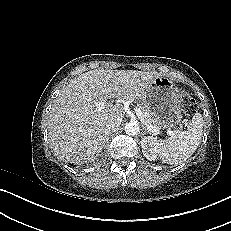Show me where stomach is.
I'll list each match as a JSON object with an SVG mask.
<instances>
[{
    "label": "stomach",
    "instance_id": "obj_1",
    "mask_svg": "<svg viewBox=\"0 0 231 231\" xmlns=\"http://www.w3.org/2000/svg\"><path fill=\"white\" fill-rule=\"evenodd\" d=\"M144 108L163 127H176L182 120L179 89L167 77H157L142 97Z\"/></svg>",
    "mask_w": 231,
    "mask_h": 231
}]
</instances>
